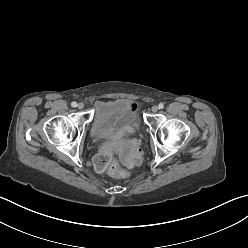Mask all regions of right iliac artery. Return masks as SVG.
Here are the masks:
<instances>
[{
  "mask_svg": "<svg viewBox=\"0 0 248 248\" xmlns=\"http://www.w3.org/2000/svg\"><path fill=\"white\" fill-rule=\"evenodd\" d=\"M71 106H72V107H76V106H77V103H76V102H72V103H71Z\"/></svg>",
  "mask_w": 248,
  "mask_h": 248,
  "instance_id": "82829eb1",
  "label": "right iliac artery"
}]
</instances>
